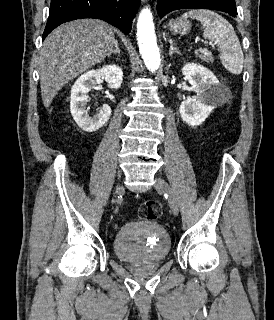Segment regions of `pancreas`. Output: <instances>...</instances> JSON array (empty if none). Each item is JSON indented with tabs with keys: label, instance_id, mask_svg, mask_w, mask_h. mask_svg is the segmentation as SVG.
<instances>
[{
	"label": "pancreas",
	"instance_id": "1",
	"mask_svg": "<svg viewBox=\"0 0 274 320\" xmlns=\"http://www.w3.org/2000/svg\"><path fill=\"white\" fill-rule=\"evenodd\" d=\"M197 58L203 60V62H214V58H212V52H208V50H201V52H197Z\"/></svg>",
	"mask_w": 274,
	"mask_h": 320
}]
</instances>
